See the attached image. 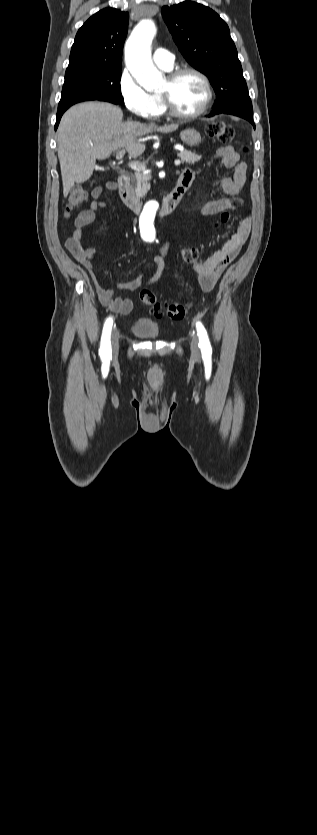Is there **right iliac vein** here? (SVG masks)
Here are the masks:
<instances>
[{
	"instance_id": "right-iliac-vein-1",
	"label": "right iliac vein",
	"mask_w": 317,
	"mask_h": 835,
	"mask_svg": "<svg viewBox=\"0 0 317 835\" xmlns=\"http://www.w3.org/2000/svg\"><path fill=\"white\" fill-rule=\"evenodd\" d=\"M111 340H112L113 352L116 353L118 351L119 343H118V333L115 329L112 332V339Z\"/></svg>"
}]
</instances>
